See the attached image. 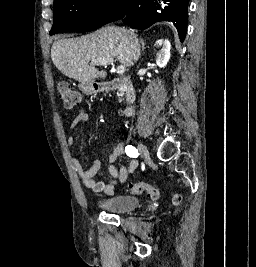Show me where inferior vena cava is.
Returning a JSON list of instances; mask_svg holds the SVG:
<instances>
[{
  "label": "inferior vena cava",
  "instance_id": "1",
  "mask_svg": "<svg viewBox=\"0 0 256 267\" xmlns=\"http://www.w3.org/2000/svg\"><path fill=\"white\" fill-rule=\"evenodd\" d=\"M132 48V60H138L139 56H140V48H139V44H138V40H135L133 46H131Z\"/></svg>",
  "mask_w": 256,
  "mask_h": 267
}]
</instances>
